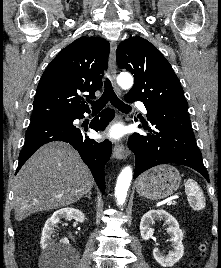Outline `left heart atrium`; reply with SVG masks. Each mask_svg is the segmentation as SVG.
I'll return each mask as SVG.
<instances>
[{
  "label": "left heart atrium",
  "instance_id": "1",
  "mask_svg": "<svg viewBox=\"0 0 221 268\" xmlns=\"http://www.w3.org/2000/svg\"><path fill=\"white\" fill-rule=\"evenodd\" d=\"M106 136L110 139H117L121 136V129L118 126H112L106 132Z\"/></svg>",
  "mask_w": 221,
  "mask_h": 268
}]
</instances>
